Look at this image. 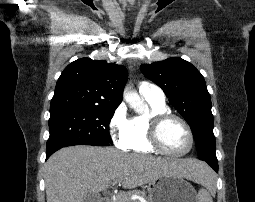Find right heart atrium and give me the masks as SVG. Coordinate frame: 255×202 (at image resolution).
<instances>
[{
  "label": "right heart atrium",
  "mask_w": 255,
  "mask_h": 202,
  "mask_svg": "<svg viewBox=\"0 0 255 202\" xmlns=\"http://www.w3.org/2000/svg\"><path fill=\"white\" fill-rule=\"evenodd\" d=\"M128 122L127 109L122 103L114 110L108 124L114 144L121 149H125L127 146Z\"/></svg>",
  "instance_id": "1"
}]
</instances>
